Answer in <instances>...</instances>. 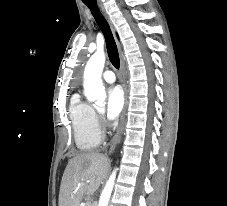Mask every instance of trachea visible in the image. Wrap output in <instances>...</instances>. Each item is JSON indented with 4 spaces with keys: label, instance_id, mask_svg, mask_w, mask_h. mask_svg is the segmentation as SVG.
I'll return each instance as SVG.
<instances>
[{
    "label": "trachea",
    "instance_id": "obj_1",
    "mask_svg": "<svg viewBox=\"0 0 227 206\" xmlns=\"http://www.w3.org/2000/svg\"><path fill=\"white\" fill-rule=\"evenodd\" d=\"M84 3L91 10L99 28L101 29L105 37L107 53H108L110 62L116 69H119L120 59H119L118 49L107 21L100 13L95 0H88L87 2H84Z\"/></svg>",
    "mask_w": 227,
    "mask_h": 206
}]
</instances>
